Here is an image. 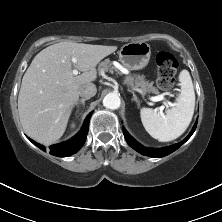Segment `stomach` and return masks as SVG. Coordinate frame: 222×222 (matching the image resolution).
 Returning <instances> with one entry per match:
<instances>
[{
    "mask_svg": "<svg viewBox=\"0 0 222 222\" xmlns=\"http://www.w3.org/2000/svg\"><path fill=\"white\" fill-rule=\"evenodd\" d=\"M151 56V47L146 42H130L121 47L119 61L130 70L144 68Z\"/></svg>",
    "mask_w": 222,
    "mask_h": 222,
    "instance_id": "stomach-1",
    "label": "stomach"
}]
</instances>
